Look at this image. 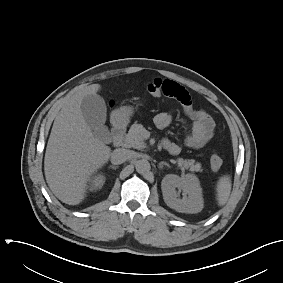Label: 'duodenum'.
I'll return each instance as SVG.
<instances>
[{
	"instance_id": "duodenum-1",
	"label": "duodenum",
	"mask_w": 283,
	"mask_h": 283,
	"mask_svg": "<svg viewBox=\"0 0 283 283\" xmlns=\"http://www.w3.org/2000/svg\"><path fill=\"white\" fill-rule=\"evenodd\" d=\"M126 127L125 124L121 121H116L112 128L113 135V145L115 147H120L123 144L124 135H125Z\"/></svg>"
}]
</instances>
